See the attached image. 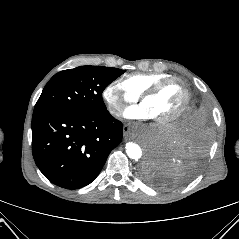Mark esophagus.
<instances>
[{"label": "esophagus", "instance_id": "1", "mask_svg": "<svg viewBox=\"0 0 239 239\" xmlns=\"http://www.w3.org/2000/svg\"><path fill=\"white\" fill-rule=\"evenodd\" d=\"M130 127L128 125H124L123 127V135L125 139L129 138Z\"/></svg>", "mask_w": 239, "mask_h": 239}]
</instances>
